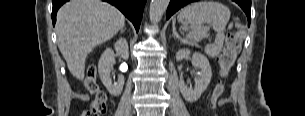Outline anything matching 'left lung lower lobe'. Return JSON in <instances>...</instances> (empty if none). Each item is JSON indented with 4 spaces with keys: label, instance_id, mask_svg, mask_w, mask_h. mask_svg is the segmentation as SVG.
Listing matches in <instances>:
<instances>
[{
    "label": "left lung lower lobe",
    "instance_id": "left-lung-lower-lobe-1",
    "mask_svg": "<svg viewBox=\"0 0 305 116\" xmlns=\"http://www.w3.org/2000/svg\"><path fill=\"white\" fill-rule=\"evenodd\" d=\"M197 0H171L167 13L166 18L169 19L171 15H173L176 11H178L183 6L187 5L188 3L195 2ZM236 3L240 5V7L244 10L247 15L248 21L250 23V10H251V0H235Z\"/></svg>",
    "mask_w": 305,
    "mask_h": 116
}]
</instances>
